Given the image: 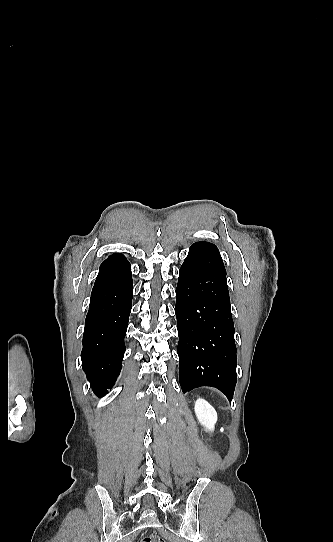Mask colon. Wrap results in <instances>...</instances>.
<instances>
[{"mask_svg": "<svg viewBox=\"0 0 333 542\" xmlns=\"http://www.w3.org/2000/svg\"><path fill=\"white\" fill-rule=\"evenodd\" d=\"M140 542H164L161 536H158L156 534H148L144 535Z\"/></svg>", "mask_w": 333, "mask_h": 542, "instance_id": "colon-1", "label": "colon"}]
</instances>
